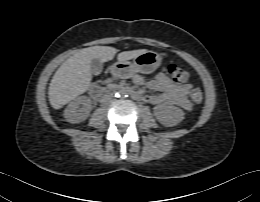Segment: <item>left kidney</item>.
I'll use <instances>...</instances> for the list:
<instances>
[{
  "label": "left kidney",
  "instance_id": "1",
  "mask_svg": "<svg viewBox=\"0 0 260 202\" xmlns=\"http://www.w3.org/2000/svg\"><path fill=\"white\" fill-rule=\"evenodd\" d=\"M154 115L162 125L172 127L184 119L185 113L171 104H159L154 107Z\"/></svg>",
  "mask_w": 260,
  "mask_h": 202
}]
</instances>
